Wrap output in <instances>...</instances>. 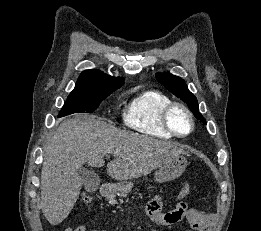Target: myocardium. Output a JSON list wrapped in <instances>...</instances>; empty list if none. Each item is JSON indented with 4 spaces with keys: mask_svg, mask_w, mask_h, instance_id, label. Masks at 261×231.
Listing matches in <instances>:
<instances>
[{
    "mask_svg": "<svg viewBox=\"0 0 261 231\" xmlns=\"http://www.w3.org/2000/svg\"><path fill=\"white\" fill-rule=\"evenodd\" d=\"M175 109H181L183 110L191 123V127L188 133L186 134H179L177 131H175V129L173 128L172 124H171V114ZM162 124L164 129L170 133L172 136L177 137V138H186L188 137L194 130L195 127V120H194V116L191 112V110L183 103L180 102H172L170 103L164 110L162 113Z\"/></svg>",
    "mask_w": 261,
    "mask_h": 231,
    "instance_id": "1",
    "label": "myocardium"
}]
</instances>
